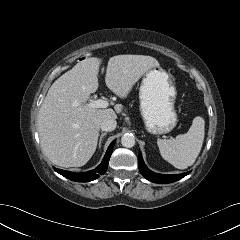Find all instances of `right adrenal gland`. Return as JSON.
<instances>
[{
	"label": "right adrenal gland",
	"instance_id": "right-adrenal-gland-1",
	"mask_svg": "<svg viewBox=\"0 0 240 240\" xmlns=\"http://www.w3.org/2000/svg\"><path fill=\"white\" fill-rule=\"evenodd\" d=\"M106 134H107V133L105 132V133H102V134L100 135V139H99V148H101L102 139H103V137H104Z\"/></svg>",
	"mask_w": 240,
	"mask_h": 240
}]
</instances>
